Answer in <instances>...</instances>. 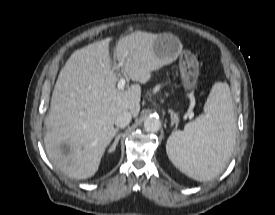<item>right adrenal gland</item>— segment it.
Returning a JSON list of instances; mask_svg holds the SVG:
<instances>
[{"label":"right adrenal gland","mask_w":275,"mask_h":215,"mask_svg":"<svg viewBox=\"0 0 275 215\" xmlns=\"http://www.w3.org/2000/svg\"><path fill=\"white\" fill-rule=\"evenodd\" d=\"M121 135H122V134L119 133V134L116 136L114 143L112 144V146H111L110 149H109V152L115 151L116 146L118 145V142H119V140H120V138H121Z\"/></svg>","instance_id":"1"}]
</instances>
